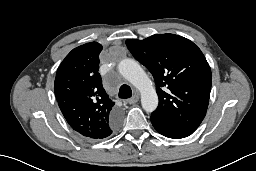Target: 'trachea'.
<instances>
[{"label": "trachea", "mask_w": 256, "mask_h": 171, "mask_svg": "<svg viewBox=\"0 0 256 171\" xmlns=\"http://www.w3.org/2000/svg\"><path fill=\"white\" fill-rule=\"evenodd\" d=\"M131 96H132L131 88L128 85L123 84L119 89V98L127 99V98H130Z\"/></svg>", "instance_id": "trachea-1"}]
</instances>
